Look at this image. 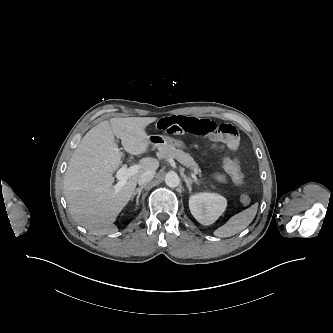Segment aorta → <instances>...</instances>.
<instances>
[{"label": "aorta", "mask_w": 333, "mask_h": 333, "mask_svg": "<svg viewBox=\"0 0 333 333\" xmlns=\"http://www.w3.org/2000/svg\"><path fill=\"white\" fill-rule=\"evenodd\" d=\"M165 183L168 187L175 188L180 184V178L177 173L169 172L165 177Z\"/></svg>", "instance_id": "obj_1"}]
</instances>
